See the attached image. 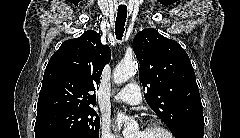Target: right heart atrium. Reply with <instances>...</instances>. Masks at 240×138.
<instances>
[{
    "label": "right heart atrium",
    "instance_id": "d8ad5b80",
    "mask_svg": "<svg viewBox=\"0 0 240 138\" xmlns=\"http://www.w3.org/2000/svg\"><path fill=\"white\" fill-rule=\"evenodd\" d=\"M100 137L101 138H117L110 130L109 124L103 122L100 128Z\"/></svg>",
    "mask_w": 240,
    "mask_h": 138
}]
</instances>
